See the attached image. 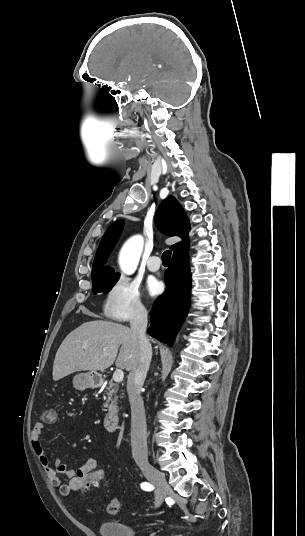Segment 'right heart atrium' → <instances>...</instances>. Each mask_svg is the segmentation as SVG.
Masks as SVG:
<instances>
[{
	"label": "right heart atrium",
	"mask_w": 305,
	"mask_h": 536,
	"mask_svg": "<svg viewBox=\"0 0 305 536\" xmlns=\"http://www.w3.org/2000/svg\"><path fill=\"white\" fill-rule=\"evenodd\" d=\"M103 309L107 317L120 322L140 318L147 313L140 286L124 275L118 276L107 290Z\"/></svg>",
	"instance_id": "right-heart-atrium-1"
}]
</instances>
